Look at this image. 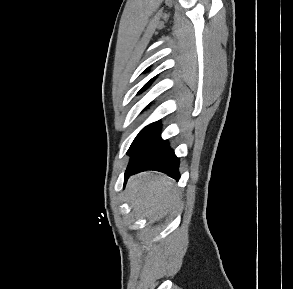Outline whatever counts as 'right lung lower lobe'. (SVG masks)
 Listing matches in <instances>:
<instances>
[{
	"instance_id": "right-lung-lower-lobe-1",
	"label": "right lung lower lobe",
	"mask_w": 293,
	"mask_h": 289,
	"mask_svg": "<svg viewBox=\"0 0 293 289\" xmlns=\"http://www.w3.org/2000/svg\"><path fill=\"white\" fill-rule=\"evenodd\" d=\"M160 130L159 124L141 142L129 148L131 159L125 173L126 179L143 170H157L176 180L180 178L179 159L169 148L167 140L160 137Z\"/></svg>"
}]
</instances>
